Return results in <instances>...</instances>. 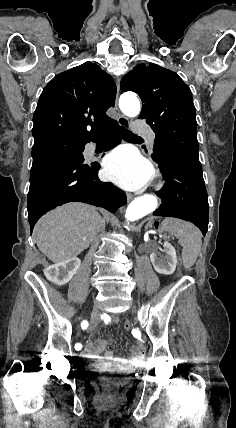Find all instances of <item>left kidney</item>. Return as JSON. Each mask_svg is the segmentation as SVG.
Masks as SVG:
<instances>
[{
  "mask_svg": "<svg viewBox=\"0 0 236 428\" xmlns=\"http://www.w3.org/2000/svg\"><path fill=\"white\" fill-rule=\"evenodd\" d=\"M163 248L164 250H161V252L165 254L163 258H160L159 254H150V260L154 270H156L158 274H166V276H169V274H173L176 270V252L175 248H173L169 242H164Z\"/></svg>",
  "mask_w": 236,
  "mask_h": 428,
  "instance_id": "left-kidney-1",
  "label": "left kidney"
}]
</instances>
